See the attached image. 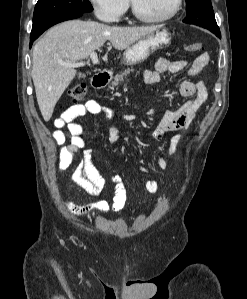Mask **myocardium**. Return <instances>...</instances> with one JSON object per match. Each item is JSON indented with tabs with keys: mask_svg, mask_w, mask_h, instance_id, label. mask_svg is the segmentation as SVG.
<instances>
[{
	"mask_svg": "<svg viewBox=\"0 0 247 299\" xmlns=\"http://www.w3.org/2000/svg\"><path fill=\"white\" fill-rule=\"evenodd\" d=\"M182 3H183V0H175L174 6H173L172 10L169 13H167L163 16L150 17V16L144 15L138 9L135 0H130L131 9H132V13L134 14V16L137 19H139L143 22H147V23H161V22H165V21H168V20L172 19L173 17L176 16V14L181 9Z\"/></svg>",
	"mask_w": 247,
	"mask_h": 299,
	"instance_id": "obj_1",
	"label": "myocardium"
}]
</instances>
